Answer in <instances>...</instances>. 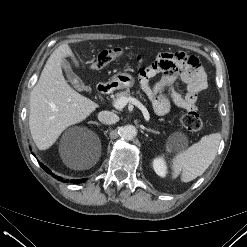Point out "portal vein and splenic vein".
I'll return each mask as SVG.
<instances>
[{"label": "portal vein and splenic vein", "instance_id": "18ae733b", "mask_svg": "<svg viewBox=\"0 0 247 247\" xmlns=\"http://www.w3.org/2000/svg\"><path fill=\"white\" fill-rule=\"evenodd\" d=\"M127 103H131V104L137 106L142 111L145 120L146 121H149L150 116H149V112H148L147 108L141 102H139L135 98H132V97H128V98L127 97H121V98L116 99L115 101H113V106L116 109H122V108H124L127 105Z\"/></svg>", "mask_w": 247, "mask_h": 247}]
</instances>
